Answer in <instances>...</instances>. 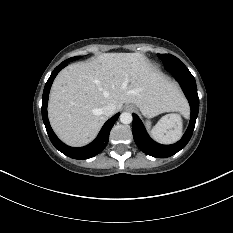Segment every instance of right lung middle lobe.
<instances>
[{
  "label": "right lung middle lobe",
  "mask_w": 233,
  "mask_h": 233,
  "mask_svg": "<svg viewBox=\"0 0 233 233\" xmlns=\"http://www.w3.org/2000/svg\"><path fill=\"white\" fill-rule=\"evenodd\" d=\"M79 57H72V58H70V59H68L67 61H73V60H76V59H78Z\"/></svg>",
  "instance_id": "1"
}]
</instances>
